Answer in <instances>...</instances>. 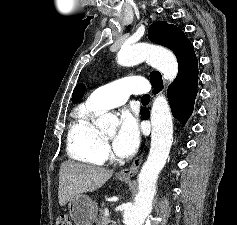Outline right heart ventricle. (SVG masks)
Wrapping results in <instances>:
<instances>
[{
	"label": "right heart ventricle",
	"mask_w": 237,
	"mask_h": 225,
	"mask_svg": "<svg viewBox=\"0 0 237 225\" xmlns=\"http://www.w3.org/2000/svg\"><path fill=\"white\" fill-rule=\"evenodd\" d=\"M101 111L89 100L76 111L68 132L67 150L72 159L94 165L105 162L103 136L93 123Z\"/></svg>",
	"instance_id": "right-heart-ventricle-1"
}]
</instances>
